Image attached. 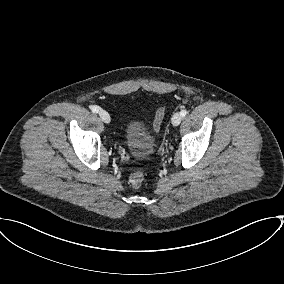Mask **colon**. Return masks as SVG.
Returning a JSON list of instances; mask_svg holds the SVG:
<instances>
[{
	"label": "colon",
	"instance_id": "5ec220e1",
	"mask_svg": "<svg viewBox=\"0 0 284 284\" xmlns=\"http://www.w3.org/2000/svg\"><path fill=\"white\" fill-rule=\"evenodd\" d=\"M163 118H164V107H159L155 113L153 121V127L156 132L159 131ZM143 181H144V174L142 172L133 173L129 178V182L131 186L134 188L140 187Z\"/></svg>",
	"mask_w": 284,
	"mask_h": 284
}]
</instances>
